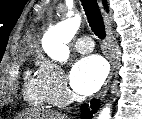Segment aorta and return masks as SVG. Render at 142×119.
<instances>
[{
  "instance_id": "aorta-1",
  "label": "aorta",
  "mask_w": 142,
  "mask_h": 119,
  "mask_svg": "<svg viewBox=\"0 0 142 119\" xmlns=\"http://www.w3.org/2000/svg\"><path fill=\"white\" fill-rule=\"evenodd\" d=\"M81 24V17L68 13V18L50 28L43 36L42 47L45 53L53 60L64 62L70 51L67 44L72 40ZM98 119H111L110 106L100 112Z\"/></svg>"
}]
</instances>
